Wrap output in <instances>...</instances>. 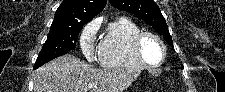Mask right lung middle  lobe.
Here are the masks:
<instances>
[{"mask_svg":"<svg viewBox=\"0 0 225 92\" xmlns=\"http://www.w3.org/2000/svg\"><path fill=\"white\" fill-rule=\"evenodd\" d=\"M86 22H73L68 26H51L46 42L39 53L33 69L75 49L81 28Z\"/></svg>","mask_w":225,"mask_h":92,"instance_id":"obj_1","label":"right lung middle lobe"}]
</instances>
